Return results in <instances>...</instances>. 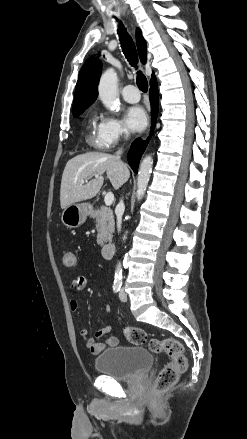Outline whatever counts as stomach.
I'll use <instances>...</instances> for the list:
<instances>
[{"label": "stomach", "mask_w": 247, "mask_h": 439, "mask_svg": "<svg viewBox=\"0 0 247 439\" xmlns=\"http://www.w3.org/2000/svg\"><path fill=\"white\" fill-rule=\"evenodd\" d=\"M88 213V204H71L63 210L61 220L66 227L77 228L86 221Z\"/></svg>", "instance_id": "1"}]
</instances>
